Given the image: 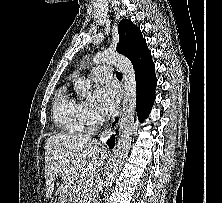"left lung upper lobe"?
I'll return each mask as SVG.
<instances>
[{
	"mask_svg": "<svg viewBox=\"0 0 222 203\" xmlns=\"http://www.w3.org/2000/svg\"><path fill=\"white\" fill-rule=\"evenodd\" d=\"M118 32L119 43L116 51L125 55L131 61L146 40L143 38L139 27L127 19L119 22Z\"/></svg>",
	"mask_w": 222,
	"mask_h": 203,
	"instance_id": "5c2ea615",
	"label": "left lung upper lobe"
}]
</instances>
